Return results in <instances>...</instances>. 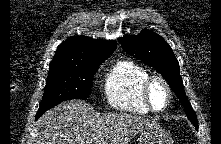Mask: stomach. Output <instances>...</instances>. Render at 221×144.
I'll return each mask as SVG.
<instances>
[{"mask_svg": "<svg viewBox=\"0 0 221 144\" xmlns=\"http://www.w3.org/2000/svg\"><path fill=\"white\" fill-rule=\"evenodd\" d=\"M139 144H171V135L159 125L144 129L139 138Z\"/></svg>", "mask_w": 221, "mask_h": 144, "instance_id": "stomach-1", "label": "stomach"}]
</instances>
